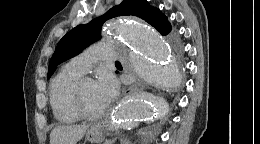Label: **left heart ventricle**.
I'll return each mask as SVG.
<instances>
[{
    "label": "left heart ventricle",
    "mask_w": 260,
    "mask_h": 144,
    "mask_svg": "<svg viewBox=\"0 0 260 144\" xmlns=\"http://www.w3.org/2000/svg\"><path fill=\"white\" fill-rule=\"evenodd\" d=\"M83 105L90 113H95L105 108V104L102 102L99 96L95 82L87 83L84 86Z\"/></svg>",
    "instance_id": "left-heart-ventricle-1"
}]
</instances>
